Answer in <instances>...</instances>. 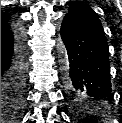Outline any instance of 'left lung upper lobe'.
<instances>
[{
    "instance_id": "5c2ea615",
    "label": "left lung upper lobe",
    "mask_w": 122,
    "mask_h": 123,
    "mask_svg": "<svg viewBox=\"0 0 122 123\" xmlns=\"http://www.w3.org/2000/svg\"><path fill=\"white\" fill-rule=\"evenodd\" d=\"M70 15L80 18L93 27L97 28L104 33L101 21L99 20L97 14L90 8V6L84 4L83 2H76L69 8Z\"/></svg>"
}]
</instances>
